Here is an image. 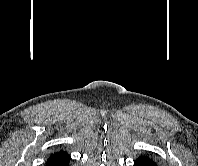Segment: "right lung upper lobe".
<instances>
[{
	"label": "right lung upper lobe",
	"mask_w": 198,
	"mask_h": 166,
	"mask_svg": "<svg viewBox=\"0 0 198 166\" xmlns=\"http://www.w3.org/2000/svg\"><path fill=\"white\" fill-rule=\"evenodd\" d=\"M62 154H66V152H64V151H59V152H55V153H53L51 156H58V155H62ZM50 156V157H51Z\"/></svg>",
	"instance_id": "obj_1"
}]
</instances>
